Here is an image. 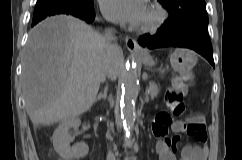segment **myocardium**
Instances as JSON below:
<instances>
[{
    "mask_svg": "<svg viewBox=\"0 0 242 160\" xmlns=\"http://www.w3.org/2000/svg\"><path fill=\"white\" fill-rule=\"evenodd\" d=\"M148 6L153 11L154 18L150 22L139 24L137 30L142 33L154 34L165 25L169 18V14L163 5L156 1L150 2Z\"/></svg>",
    "mask_w": 242,
    "mask_h": 160,
    "instance_id": "f54148a6",
    "label": "myocardium"
}]
</instances>
